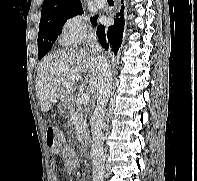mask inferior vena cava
I'll list each match as a JSON object with an SVG mask.
<instances>
[{
  "label": "inferior vena cava",
  "mask_w": 197,
  "mask_h": 181,
  "mask_svg": "<svg viewBox=\"0 0 197 181\" xmlns=\"http://www.w3.org/2000/svg\"><path fill=\"white\" fill-rule=\"evenodd\" d=\"M91 54L97 63L99 71V85L97 89V107L91 116L92 132V164L93 181H104V137L102 132L105 108L110 97L112 85V71L109 62L101 55V47L96 35L90 38Z\"/></svg>",
  "instance_id": "obj_1"
}]
</instances>
